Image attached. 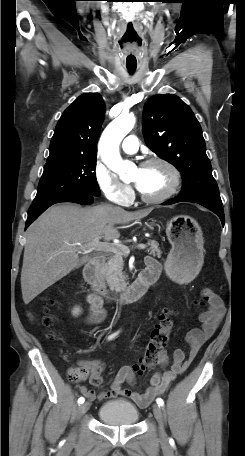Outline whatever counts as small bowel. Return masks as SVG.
I'll return each instance as SVG.
<instances>
[{
    "mask_svg": "<svg viewBox=\"0 0 245 456\" xmlns=\"http://www.w3.org/2000/svg\"><path fill=\"white\" fill-rule=\"evenodd\" d=\"M87 301L90 305L87 322L89 324L102 322L106 317L102 302L93 294L87 296ZM196 305L198 307L207 306L208 308L199 314L201 327L193 328L186 334L185 340L189 347L188 355L186 356L181 349H176L172 355L170 370L164 373H154L150 378V386L144 393L122 387L124 383L135 384L134 372L128 366L122 367L117 372L110 390L96 394L94 390L83 386L80 388V392L90 401L102 402L115 397H124L130 399L139 407L148 406L156 396L164 393L169 384L178 375L182 374L190 366L203 343L213 335L225 314V306L221 297L212 289H204L201 292V297L196 301ZM160 362L163 366L169 364V357L166 352ZM83 367L90 374V383L93 386H100L103 381L104 364L101 361L93 360L84 362Z\"/></svg>",
    "mask_w": 245,
    "mask_h": 456,
    "instance_id": "c3829d8e",
    "label": "small bowel"
}]
</instances>
